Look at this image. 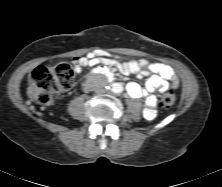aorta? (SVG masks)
<instances>
[{
    "label": "aorta",
    "mask_w": 222,
    "mask_h": 187,
    "mask_svg": "<svg viewBox=\"0 0 222 187\" xmlns=\"http://www.w3.org/2000/svg\"><path fill=\"white\" fill-rule=\"evenodd\" d=\"M114 93H121L123 91V86L121 83H114L111 89Z\"/></svg>",
    "instance_id": "1"
}]
</instances>
